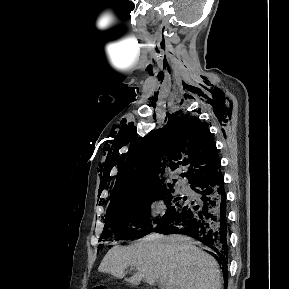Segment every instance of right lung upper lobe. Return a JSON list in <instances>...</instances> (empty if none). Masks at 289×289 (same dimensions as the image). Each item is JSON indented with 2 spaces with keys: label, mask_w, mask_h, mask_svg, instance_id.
<instances>
[{
  "label": "right lung upper lobe",
  "mask_w": 289,
  "mask_h": 289,
  "mask_svg": "<svg viewBox=\"0 0 289 289\" xmlns=\"http://www.w3.org/2000/svg\"><path fill=\"white\" fill-rule=\"evenodd\" d=\"M179 166H189L186 177L192 185L218 172L221 166L207 126L181 111L164 128L150 132L128 151L126 164L123 163L111 191L109 206L135 195L172 188L168 175Z\"/></svg>",
  "instance_id": "cb5924a9"
}]
</instances>
